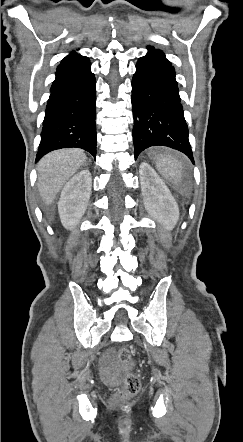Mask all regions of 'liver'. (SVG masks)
<instances>
[{"mask_svg": "<svg viewBox=\"0 0 243 442\" xmlns=\"http://www.w3.org/2000/svg\"><path fill=\"white\" fill-rule=\"evenodd\" d=\"M81 149H61L48 153L38 163V191L43 202L50 205L64 184L86 162Z\"/></svg>", "mask_w": 243, "mask_h": 442, "instance_id": "liver-1", "label": "liver"}]
</instances>
